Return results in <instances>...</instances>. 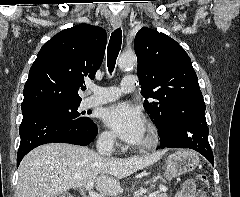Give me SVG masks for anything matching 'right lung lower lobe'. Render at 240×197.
Returning <instances> with one entry per match:
<instances>
[{"mask_svg":"<svg viewBox=\"0 0 240 197\" xmlns=\"http://www.w3.org/2000/svg\"><path fill=\"white\" fill-rule=\"evenodd\" d=\"M22 113L23 120L19 127L21 141L17 153V167L23 157L39 145L61 142L86 146L97 135L95 123L80 128L48 111L22 110Z\"/></svg>","mask_w":240,"mask_h":197,"instance_id":"98d812e1","label":"right lung lower lobe"}]
</instances>
